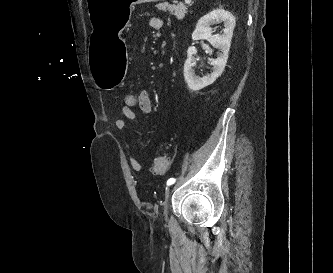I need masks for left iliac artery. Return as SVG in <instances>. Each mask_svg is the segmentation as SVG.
I'll return each instance as SVG.
<instances>
[{
  "mask_svg": "<svg viewBox=\"0 0 333 273\" xmlns=\"http://www.w3.org/2000/svg\"><path fill=\"white\" fill-rule=\"evenodd\" d=\"M175 181H176L175 178H170V179L167 181V186H170V185L174 184Z\"/></svg>",
  "mask_w": 333,
  "mask_h": 273,
  "instance_id": "1",
  "label": "left iliac artery"
}]
</instances>
